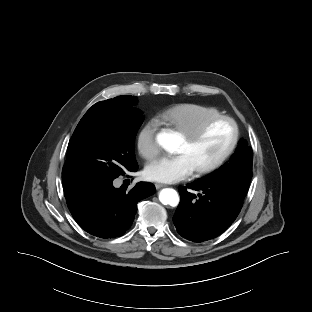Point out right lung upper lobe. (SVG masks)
<instances>
[{
  "instance_id": "obj_1",
  "label": "right lung upper lobe",
  "mask_w": 312,
  "mask_h": 312,
  "mask_svg": "<svg viewBox=\"0 0 312 312\" xmlns=\"http://www.w3.org/2000/svg\"><path fill=\"white\" fill-rule=\"evenodd\" d=\"M124 97H126V96H118V97H116L117 99H121V98H124Z\"/></svg>"
}]
</instances>
